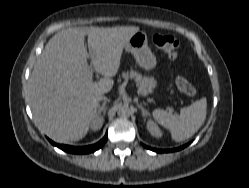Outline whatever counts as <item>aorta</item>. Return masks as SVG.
Listing matches in <instances>:
<instances>
[{"label":"aorta","instance_id":"aorta-1","mask_svg":"<svg viewBox=\"0 0 249 188\" xmlns=\"http://www.w3.org/2000/svg\"><path fill=\"white\" fill-rule=\"evenodd\" d=\"M117 114L119 117L128 118L131 115V110L127 105H122L118 108Z\"/></svg>","mask_w":249,"mask_h":188}]
</instances>
